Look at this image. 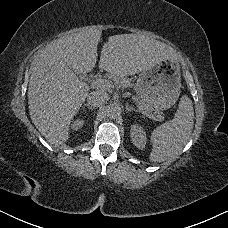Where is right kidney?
I'll return each instance as SVG.
<instances>
[{
    "label": "right kidney",
    "mask_w": 228,
    "mask_h": 228,
    "mask_svg": "<svg viewBox=\"0 0 228 228\" xmlns=\"http://www.w3.org/2000/svg\"><path fill=\"white\" fill-rule=\"evenodd\" d=\"M73 127H74L75 129H77V128L81 127V123H80V122H75V123L73 124Z\"/></svg>",
    "instance_id": "ca27d5eb"
}]
</instances>
